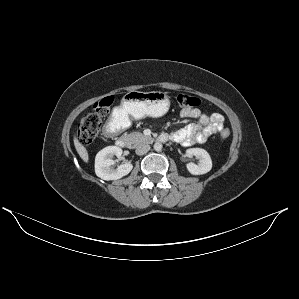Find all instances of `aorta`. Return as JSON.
<instances>
[{
    "label": "aorta",
    "mask_w": 299,
    "mask_h": 299,
    "mask_svg": "<svg viewBox=\"0 0 299 299\" xmlns=\"http://www.w3.org/2000/svg\"><path fill=\"white\" fill-rule=\"evenodd\" d=\"M162 144L160 143V142H156L155 144H154V150L155 151H161L162 150Z\"/></svg>",
    "instance_id": "1"
}]
</instances>
